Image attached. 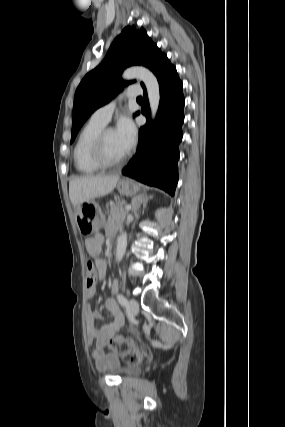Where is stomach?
<instances>
[{
	"instance_id": "1",
	"label": "stomach",
	"mask_w": 285,
	"mask_h": 427,
	"mask_svg": "<svg viewBox=\"0 0 285 427\" xmlns=\"http://www.w3.org/2000/svg\"><path fill=\"white\" fill-rule=\"evenodd\" d=\"M117 189L121 195L134 196L140 191V186L130 179H123L118 182ZM76 221L83 234H90L99 229L104 222V217L98 204L91 201L77 208Z\"/></svg>"
}]
</instances>
